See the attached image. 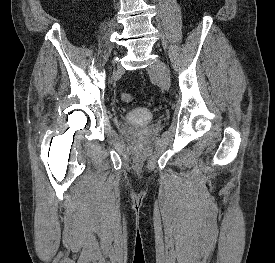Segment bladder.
Here are the masks:
<instances>
[{"label": "bladder", "instance_id": "1", "mask_svg": "<svg viewBox=\"0 0 275 263\" xmlns=\"http://www.w3.org/2000/svg\"><path fill=\"white\" fill-rule=\"evenodd\" d=\"M153 117V113L149 110L137 107L129 110L125 114V121L130 125L145 126L152 122Z\"/></svg>", "mask_w": 275, "mask_h": 263}]
</instances>
